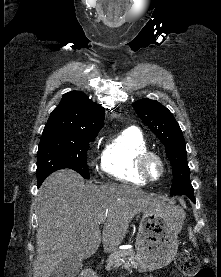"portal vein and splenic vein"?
I'll return each mask as SVG.
<instances>
[{"instance_id": "18ae733b", "label": "portal vein and splenic vein", "mask_w": 221, "mask_h": 277, "mask_svg": "<svg viewBox=\"0 0 221 277\" xmlns=\"http://www.w3.org/2000/svg\"><path fill=\"white\" fill-rule=\"evenodd\" d=\"M104 222H105V218H102V219H100V221L98 223L101 224V223H104Z\"/></svg>"}]
</instances>
